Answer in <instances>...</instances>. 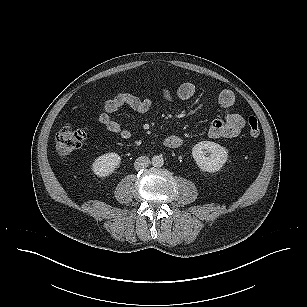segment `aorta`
<instances>
[{"label":"aorta","mask_w":307,"mask_h":307,"mask_svg":"<svg viewBox=\"0 0 307 307\" xmlns=\"http://www.w3.org/2000/svg\"><path fill=\"white\" fill-rule=\"evenodd\" d=\"M163 164H164V159H163L162 155H155V156H153V158H152V165L154 167L159 168V167H162Z\"/></svg>","instance_id":"aorta-1"}]
</instances>
